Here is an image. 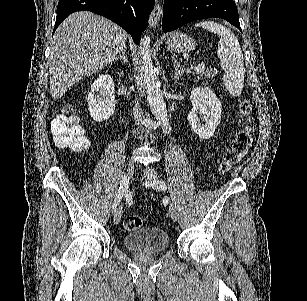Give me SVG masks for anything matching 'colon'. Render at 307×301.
<instances>
[{
  "instance_id": "5ec220e1",
  "label": "colon",
  "mask_w": 307,
  "mask_h": 301,
  "mask_svg": "<svg viewBox=\"0 0 307 301\" xmlns=\"http://www.w3.org/2000/svg\"><path fill=\"white\" fill-rule=\"evenodd\" d=\"M252 106L249 101H243L241 112L250 116ZM51 130L54 141L59 147H69L73 150H83L89 146V139L83 127L79 124L78 118L69 114L68 111L56 117L51 123ZM253 143V130L246 126L233 139L223 154L219 170L220 173L227 172L231 167L238 164L249 152ZM143 220L138 215H129L124 220V227L129 231L141 228Z\"/></svg>"
}]
</instances>
